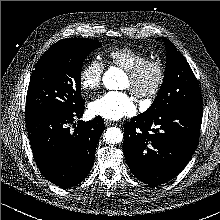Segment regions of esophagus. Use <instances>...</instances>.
Segmentation results:
<instances>
[{
  "mask_svg": "<svg viewBox=\"0 0 220 220\" xmlns=\"http://www.w3.org/2000/svg\"><path fill=\"white\" fill-rule=\"evenodd\" d=\"M105 125L108 127V126H111V125H114V123L112 121H109V120H105L104 121Z\"/></svg>",
  "mask_w": 220,
  "mask_h": 220,
  "instance_id": "esophagus-1",
  "label": "esophagus"
}]
</instances>
